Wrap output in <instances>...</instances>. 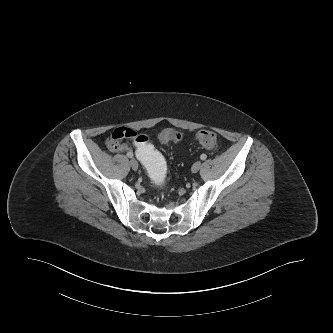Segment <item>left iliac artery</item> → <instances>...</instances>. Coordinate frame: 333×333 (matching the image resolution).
I'll return each instance as SVG.
<instances>
[{"mask_svg": "<svg viewBox=\"0 0 333 333\" xmlns=\"http://www.w3.org/2000/svg\"><path fill=\"white\" fill-rule=\"evenodd\" d=\"M200 158H201L202 160H205V159L207 158V156H206L205 154H202V155L200 156Z\"/></svg>", "mask_w": 333, "mask_h": 333, "instance_id": "44dca946", "label": "left iliac artery"}]
</instances>
